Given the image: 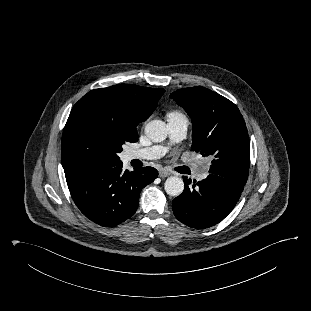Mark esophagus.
<instances>
[{"mask_svg": "<svg viewBox=\"0 0 311 311\" xmlns=\"http://www.w3.org/2000/svg\"><path fill=\"white\" fill-rule=\"evenodd\" d=\"M170 175H171V173L168 170L162 169V170L159 171V176L160 177L164 178V177H168Z\"/></svg>", "mask_w": 311, "mask_h": 311, "instance_id": "1", "label": "esophagus"}]
</instances>
